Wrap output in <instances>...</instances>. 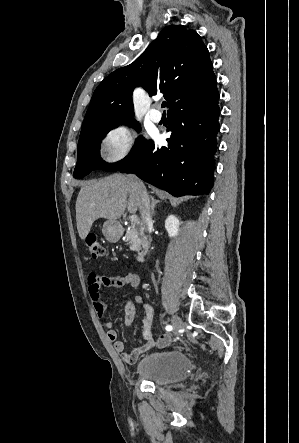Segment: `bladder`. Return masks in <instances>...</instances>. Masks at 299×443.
I'll use <instances>...</instances> for the list:
<instances>
[{
  "instance_id": "31cf9c89",
  "label": "bladder",
  "mask_w": 299,
  "mask_h": 443,
  "mask_svg": "<svg viewBox=\"0 0 299 443\" xmlns=\"http://www.w3.org/2000/svg\"><path fill=\"white\" fill-rule=\"evenodd\" d=\"M191 370L190 358L179 350L149 352L135 365L139 377L159 385L176 383L186 378Z\"/></svg>"
}]
</instances>
